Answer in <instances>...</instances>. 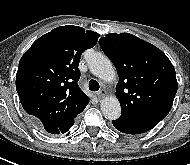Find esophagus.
Instances as JSON below:
<instances>
[{
  "label": "esophagus",
  "mask_w": 190,
  "mask_h": 165,
  "mask_svg": "<svg viewBox=\"0 0 190 165\" xmlns=\"http://www.w3.org/2000/svg\"><path fill=\"white\" fill-rule=\"evenodd\" d=\"M106 96H107V91L104 90V89L100 90V91L97 93V97H98L99 99H102V98H104V97H106Z\"/></svg>",
  "instance_id": "1"
}]
</instances>
